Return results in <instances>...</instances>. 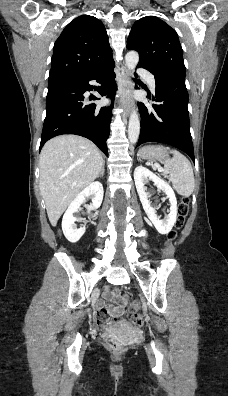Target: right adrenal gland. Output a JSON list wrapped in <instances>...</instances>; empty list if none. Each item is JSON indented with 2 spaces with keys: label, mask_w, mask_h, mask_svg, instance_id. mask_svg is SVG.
Instances as JSON below:
<instances>
[{
  "label": "right adrenal gland",
  "mask_w": 228,
  "mask_h": 396,
  "mask_svg": "<svg viewBox=\"0 0 228 396\" xmlns=\"http://www.w3.org/2000/svg\"><path fill=\"white\" fill-rule=\"evenodd\" d=\"M104 171H105V166H104V164H103V166H102V168H101V171H100L99 175L97 176V178L103 177V176H104Z\"/></svg>",
  "instance_id": "obj_1"
}]
</instances>
